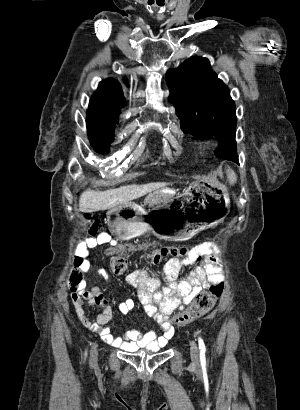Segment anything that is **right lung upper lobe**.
<instances>
[{"mask_svg": "<svg viewBox=\"0 0 300 410\" xmlns=\"http://www.w3.org/2000/svg\"><path fill=\"white\" fill-rule=\"evenodd\" d=\"M92 97L98 101L97 110L106 117L118 119L120 108L126 104L122 89L113 78L103 80Z\"/></svg>", "mask_w": 300, "mask_h": 410, "instance_id": "1", "label": "right lung upper lobe"}]
</instances>
